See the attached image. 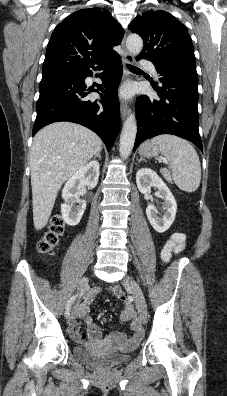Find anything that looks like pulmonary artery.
Here are the masks:
<instances>
[{"label":"pulmonary artery","mask_w":227,"mask_h":396,"mask_svg":"<svg viewBox=\"0 0 227 396\" xmlns=\"http://www.w3.org/2000/svg\"><path fill=\"white\" fill-rule=\"evenodd\" d=\"M141 65L146 67L155 78H158L157 70L151 61L142 60Z\"/></svg>","instance_id":"e3ab8cb5"}]
</instances>
